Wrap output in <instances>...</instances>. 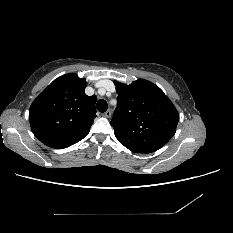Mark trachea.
Segmentation results:
<instances>
[{
  "label": "trachea",
  "mask_w": 233,
  "mask_h": 233,
  "mask_svg": "<svg viewBox=\"0 0 233 233\" xmlns=\"http://www.w3.org/2000/svg\"><path fill=\"white\" fill-rule=\"evenodd\" d=\"M96 107L99 112L104 113L108 108V104L104 99H100L98 100Z\"/></svg>",
  "instance_id": "obj_1"
}]
</instances>
